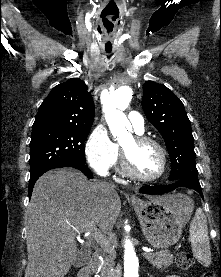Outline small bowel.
I'll list each match as a JSON object with an SVG mask.
<instances>
[{
  "label": "small bowel",
  "instance_id": "1",
  "mask_svg": "<svg viewBox=\"0 0 221 277\" xmlns=\"http://www.w3.org/2000/svg\"><path fill=\"white\" fill-rule=\"evenodd\" d=\"M167 277H180L178 275H170V276H167Z\"/></svg>",
  "mask_w": 221,
  "mask_h": 277
}]
</instances>
